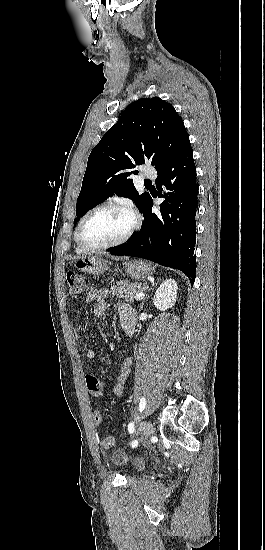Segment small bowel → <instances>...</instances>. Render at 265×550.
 Masks as SVG:
<instances>
[{
    "label": "small bowel",
    "instance_id": "1",
    "mask_svg": "<svg viewBox=\"0 0 265 550\" xmlns=\"http://www.w3.org/2000/svg\"><path fill=\"white\" fill-rule=\"evenodd\" d=\"M108 291L106 289H99L91 291L85 298L87 304L94 303V315L96 317H102L107 311L106 298ZM117 310L119 314L120 326L123 332L127 336H133L135 334L136 313L132 306L126 302L120 301L117 304ZM85 356L89 361H94L96 358L95 351L92 348L85 350ZM131 370V360L125 358L117 372L116 380L112 388V392L115 396L121 397L124 392L125 382ZM102 417L99 421L94 420L96 424H100Z\"/></svg>",
    "mask_w": 265,
    "mask_h": 550
}]
</instances>
